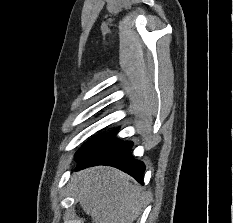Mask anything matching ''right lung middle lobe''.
Instances as JSON below:
<instances>
[{
  "label": "right lung middle lobe",
  "instance_id": "dd1d6c3e",
  "mask_svg": "<svg viewBox=\"0 0 233 223\" xmlns=\"http://www.w3.org/2000/svg\"><path fill=\"white\" fill-rule=\"evenodd\" d=\"M104 135H100L98 137H95L88 142H86L76 153V156H82L86 154L89 150H91L98 142L99 140L103 137Z\"/></svg>",
  "mask_w": 233,
  "mask_h": 223
}]
</instances>
